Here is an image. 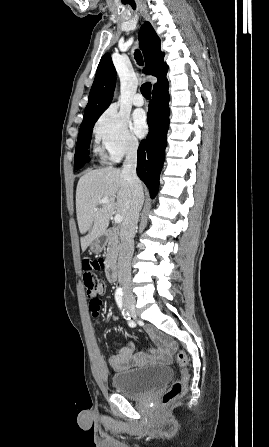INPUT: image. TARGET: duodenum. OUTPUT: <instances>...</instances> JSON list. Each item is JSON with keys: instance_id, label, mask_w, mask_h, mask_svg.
I'll list each match as a JSON object with an SVG mask.
<instances>
[{"instance_id": "duodenum-1", "label": "duodenum", "mask_w": 269, "mask_h": 447, "mask_svg": "<svg viewBox=\"0 0 269 447\" xmlns=\"http://www.w3.org/2000/svg\"><path fill=\"white\" fill-rule=\"evenodd\" d=\"M117 233H118V230H117V229H114V228L109 229V230L107 231V234H108V235H116ZM106 275H107V278H108V280H109L110 282H115V281H116V279H117V270H116V266H115V264H113V263H109V264L107 265V268H106Z\"/></svg>"}]
</instances>
